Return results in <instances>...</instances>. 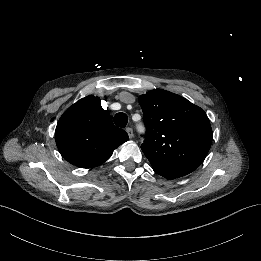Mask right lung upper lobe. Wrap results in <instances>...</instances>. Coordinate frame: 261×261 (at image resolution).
<instances>
[{"mask_svg":"<svg viewBox=\"0 0 261 261\" xmlns=\"http://www.w3.org/2000/svg\"><path fill=\"white\" fill-rule=\"evenodd\" d=\"M129 139L114 126L100 98L89 95L68 108L58 121L55 140L61 155L80 168L96 167Z\"/></svg>","mask_w":261,"mask_h":261,"instance_id":"right-lung-upper-lobe-1","label":"right lung upper lobe"}]
</instances>
